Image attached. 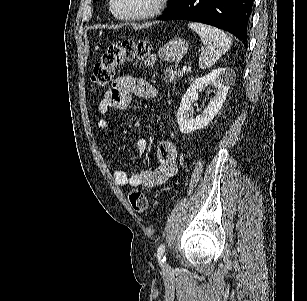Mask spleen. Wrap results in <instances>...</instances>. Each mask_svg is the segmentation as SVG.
Wrapping results in <instances>:
<instances>
[{
	"instance_id": "obj_1",
	"label": "spleen",
	"mask_w": 307,
	"mask_h": 301,
	"mask_svg": "<svg viewBox=\"0 0 307 301\" xmlns=\"http://www.w3.org/2000/svg\"><path fill=\"white\" fill-rule=\"evenodd\" d=\"M188 26L198 32L204 44V50L199 56L200 68H210L222 54L229 50L232 44L230 36L221 28L210 26V24H201V22H189Z\"/></svg>"
}]
</instances>
